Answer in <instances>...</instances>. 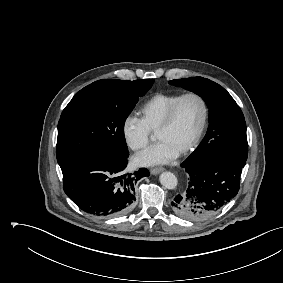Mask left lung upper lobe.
I'll use <instances>...</instances> for the list:
<instances>
[{
    "label": "left lung upper lobe",
    "instance_id": "1",
    "mask_svg": "<svg viewBox=\"0 0 283 283\" xmlns=\"http://www.w3.org/2000/svg\"><path fill=\"white\" fill-rule=\"evenodd\" d=\"M169 83L198 94L209 108L207 134L196 150L186 159L187 163L216 156L247 160L248 143L243 113L222 86L203 77L175 79Z\"/></svg>",
    "mask_w": 283,
    "mask_h": 283
}]
</instances>
